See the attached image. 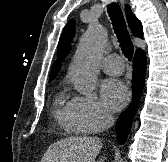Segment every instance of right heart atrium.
Segmentation results:
<instances>
[{
  "instance_id": "1",
  "label": "right heart atrium",
  "mask_w": 168,
  "mask_h": 162,
  "mask_svg": "<svg viewBox=\"0 0 168 162\" xmlns=\"http://www.w3.org/2000/svg\"><path fill=\"white\" fill-rule=\"evenodd\" d=\"M71 120L87 133H98L111 121L94 95H77L69 102Z\"/></svg>"
}]
</instances>
